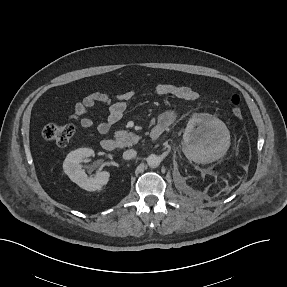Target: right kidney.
I'll return each mask as SVG.
<instances>
[{
	"instance_id": "1",
	"label": "right kidney",
	"mask_w": 287,
	"mask_h": 287,
	"mask_svg": "<svg viewBox=\"0 0 287 287\" xmlns=\"http://www.w3.org/2000/svg\"><path fill=\"white\" fill-rule=\"evenodd\" d=\"M94 154L92 149L80 148L70 152L63 163L65 174L79 187L87 191L101 190L109 181L110 173L97 172L94 177H89L82 169L81 162Z\"/></svg>"
}]
</instances>
